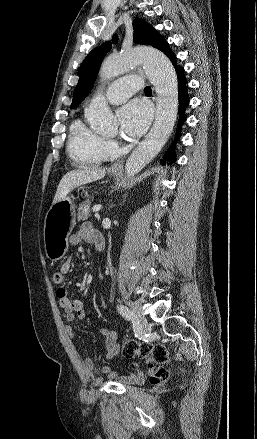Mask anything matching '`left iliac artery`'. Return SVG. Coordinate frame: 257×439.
I'll use <instances>...</instances> for the list:
<instances>
[{
	"label": "left iliac artery",
	"mask_w": 257,
	"mask_h": 439,
	"mask_svg": "<svg viewBox=\"0 0 257 439\" xmlns=\"http://www.w3.org/2000/svg\"><path fill=\"white\" fill-rule=\"evenodd\" d=\"M117 309H118V312L125 318V319H127V320H130L131 318H132V312H130V310L126 307V306H124V305H122V304H119V305H117Z\"/></svg>",
	"instance_id": "1"
}]
</instances>
